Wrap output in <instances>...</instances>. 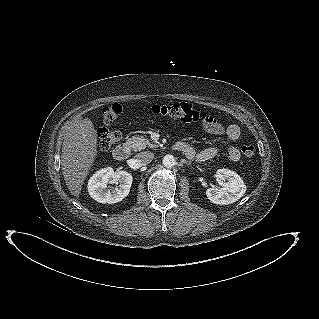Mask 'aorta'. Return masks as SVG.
I'll list each match as a JSON object with an SVG mask.
<instances>
[{"instance_id":"762f6f07","label":"aorta","mask_w":319,"mask_h":319,"mask_svg":"<svg viewBox=\"0 0 319 319\" xmlns=\"http://www.w3.org/2000/svg\"><path fill=\"white\" fill-rule=\"evenodd\" d=\"M162 161H163V165L167 168L173 167L176 163L175 157L170 154L165 155Z\"/></svg>"}]
</instances>
